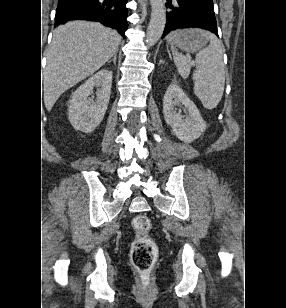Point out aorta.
Wrapping results in <instances>:
<instances>
[{
  "mask_svg": "<svg viewBox=\"0 0 286 308\" xmlns=\"http://www.w3.org/2000/svg\"><path fill=\"white\" fill-rule=\"evenodd\" d=\"M151 17L146 33V44L155 45L161 38L166 25V11L163 0H150Z\"/></svg>",
  "mask_w": 286,
  "mask_h": 308,
  "instance_id": "aorta-1",
  "label": "aorta"
}]
</instances>
